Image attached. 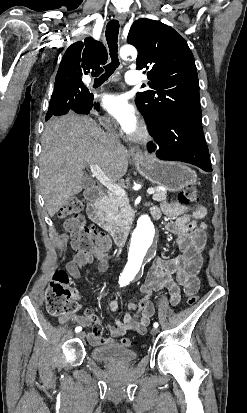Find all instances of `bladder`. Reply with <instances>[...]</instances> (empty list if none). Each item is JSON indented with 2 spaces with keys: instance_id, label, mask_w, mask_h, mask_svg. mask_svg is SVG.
Masks as SVG:
<instances>
[{
  "instance_id": "1",
  "label": "bladder",
  "mask_w": 247,
  "mask_h": 413,
  "mask_svg": "<svg viewBox=\"0 0 247 413\" xmlns=\"http://www.w3.org/2000/svg\"><path fill=\"white\" fill-rule=\"evenodd\" d=\"M90 354L96 362L106 364L131 363L137 358V352L130 348H123L116 342L103 344L91 350Z\"/></svg>"
}]
</instances>
